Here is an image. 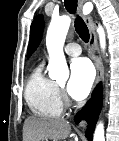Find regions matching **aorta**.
<instances>
[{"label": "aorta", "instance_id": "obj_1", "mask_svg": "<svg viewBox=\"0 0 119 141\" xmlns=\"http://www.w3.org/2000/svg\"><path fill=\"white\" fill-rule=\"evenodd\" d=\"M71 24V19L67 15L53 18L47 30L46 46L49 54L48 71L49 77L54 80H67L69 69L66 63L63 46L66 35ZM101 48L106 46L105 32L100 26L97 29ZM93 141H105L104 125L98 123L94 132Z\"/></svg>", "mask_w": 119, "mask_h": 141}]
</instances>
